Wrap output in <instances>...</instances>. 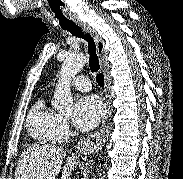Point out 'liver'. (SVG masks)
Wrapping results in <instances>:
<instances>
[{
    "instance_id": "1",
    "label": "liver",
    "mask_w": 183,
    "mask_h": 179,
    "mask_svg": "<svg viewBox=\"0 0 183 179\" xmlns=\"http://www.w3.org/2000/svg\"><path fill=\"white\" fill-rule=\"evenodd\" d=\"M66 152L54 145H33L24 150L18 160L15 179H55L61 170ZM75 159L67 158L61 179H69L76 167Z\"/></svg>"
}]
</instances>
